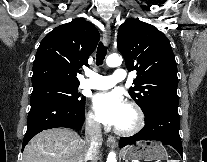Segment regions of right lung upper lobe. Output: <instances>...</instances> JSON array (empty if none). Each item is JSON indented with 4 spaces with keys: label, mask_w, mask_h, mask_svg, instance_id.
<instances>
[{
    "label": "right lung upper lobe",
    "mask_w": 207,
    "mask_h": 162,
    "mask_svg": "<svg viewBox=\"0 0 207 162\" xmlns=\"http://www.w3.org/2000/svg\"><path fill=\"white\" fill-rule=\"evenodd\" d=\"M100 35L96 27L77 19L60 25L40 43L33 63L32 86L47 84L79 85L76 76L95 50Z\"/></svg>",
    "instance_id": "cb5924a9"
}]
</instances>
